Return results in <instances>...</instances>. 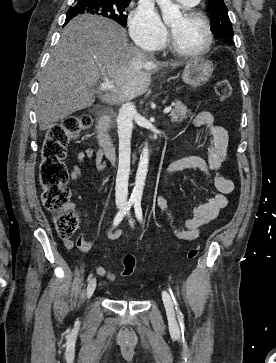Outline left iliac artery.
<instances>
[{"mask_svg": "<svg viewBox=\"0 0 276 363\" xmlns=\"http://www.w3.org/2000/svg\"><path fill=\"white\" fill-rule=\"evenodd\" d=\"M134 203H135L134 204L135 215H136L138 221L142 222L143 217H142L141 201L136 200ZM169 291H170V294H171V297H172L174 303L177 304V298H176L175 294L172 292V290L170 288H169ZM182 318H183V315L181 312H179V320L181 321Z\"/></svg>", "mask_w": 276, "mask_h": 363, "instance_id": "1", "label": "left iliac artery"}]
</instances>
